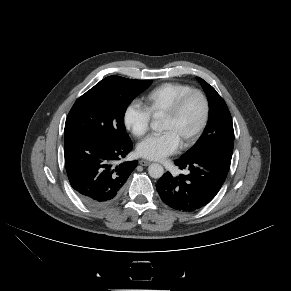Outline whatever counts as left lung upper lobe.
<instances>
[{"mask_svg":"<svg viewBox=\"0 0 291 291\" xmlns=\"http://www.w3.org/2000/svg\"><path fill=\"white\" fill-rule=\"evenodd\" d=\"M209 101V121L202 137L181 158L207 153H222L232 156L234 130L228 107L216 90L206 81L197 78Z\"/></svg>","mask_w":291,"mask_h":291,"instance_id":"1","label":"left lung upper lobe"}]
</instances>
